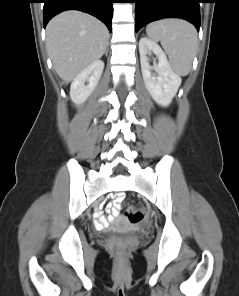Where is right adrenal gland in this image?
I'll use <instances>...</instances> for the list:
<instances>
[{"label":"right adrenal gland","instance_id":"2a0ac1e0","mask_svg":"<svg viewBox=\"0 0 239 296\" xmlns=\"http://www.w3.org/2000/svg\"><path fill=\"white\" fill-rule=\"evenodd\" d=\"M105 55H106V56L108 55V47H107V49H106V51H105Z\"/></svg>","mask_w":239,"mask_h":296}]
</instances>
